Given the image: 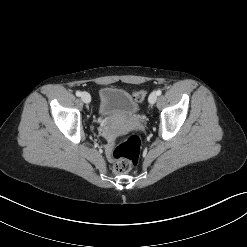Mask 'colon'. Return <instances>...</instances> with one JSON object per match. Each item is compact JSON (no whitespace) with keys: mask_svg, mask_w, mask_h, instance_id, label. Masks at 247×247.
Returning <instances> with one entry per match:
<instances>
[{"mask_svg":"<svg viewBox=\"0 0 247 247\" xmlns=\"http://www.w3.org/2000/svg\"><path fill=\"white\" fill-rule=\"evenodd\" d=\"M145 97L143 90L136 91L134 98L142 101ZM141 150V137L132 133L116 140L111 150L112 168L115 173L125 174L138 166Z\"/></svg>","mask_w":247,"mask_h":247,"instance_id":"1","label":"colon"}]
</instances>
